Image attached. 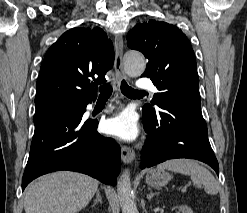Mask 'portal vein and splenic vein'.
Wrapping results in <instances>:
<instances>
[{
  "label": "portal vein and splenic vein",
  "mask_w": 247,
  "mask_h": 213,
  "mask_svg": "<svg viewBox=\"0 0 247 213\" xmlns=\"http://www.w3.org/2000/svg\"><path fill=\"white\" fill-rule=\"evenodd\" d=\"M181 191H182L183 193H184V192H186V188H182V190H181Z\"/></svg>",
  "instance_id": "18ae733b"
}]
</instances>
